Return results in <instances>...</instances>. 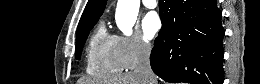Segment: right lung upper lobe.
<instances>
[{
  "label": "right lung upper lobe",
  "instance_id": "cb5924a9",
  "mask_svg": "<svg viewBox=\"0 0 260 84\" xmlns=\"http://www.w3.org/2000/svg\"><path fill=\"white\" fill-rule=\"evenodd\" d=\"M105 5L106 0H88L78 24L77 36L94 22L98 21L104 11Z\"/></svg>",
  "mask_w": 260,
  "mask_h": 84
}]
</instances>
